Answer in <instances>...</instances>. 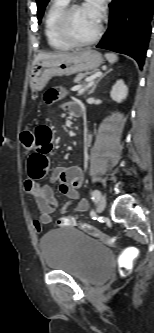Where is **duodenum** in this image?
Masks as SVG:
<instances>
[{"mask_svg":"<svg viewBox=\"0 0 154 333\" xmlns=\"http://www.w3.org/2000/svg\"><path fill=\"white\" fill-rule=\"evenodd\" d=\"M82 115V111L81 110H77L76 112H75V116L76 117H79V116H81Z\"/></svg>","mask_w":154,"mask_h":333,"instance_id":"1","label":"duodenum"}]
</instances>
